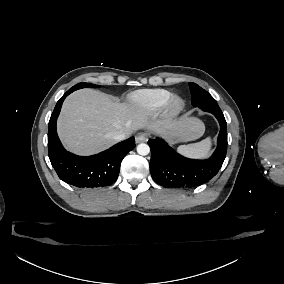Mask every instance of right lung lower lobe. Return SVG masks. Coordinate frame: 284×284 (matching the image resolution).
<instances>
[{
  "label": "right lung lower lobe",
  "instance_id": "obj_1",
  "mask_svg": "<svg viewBox=\"0 0 284 284\" xmlns=\"http://www.w3.org/2000/svg\"><path fill=\"white\" fill-rule=\"evenodd\" d=\"M75 90L69 89L57 102L48 124V154L52 166L64 182L91 190L113 184L119 175L123 158L135 147L131 137L99 154L82 157L67 152L56 131V122L64 99Z\"/></svg>",
  "mask_w": 284,
  "mask_h": 284
}]
</instances>
